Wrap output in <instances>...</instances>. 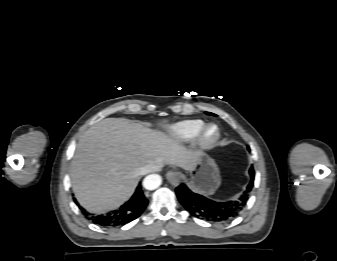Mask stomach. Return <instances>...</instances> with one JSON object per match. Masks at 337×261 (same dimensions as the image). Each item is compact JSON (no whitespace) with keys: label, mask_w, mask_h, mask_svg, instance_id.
<instances>
[{"label":"stomach","mask_w":337,"mask_h":261,"mask_svg":"<svg viewBox=\"0 0 337 261\" xmlns=\"http://www.w3.org/2000/svg\"><path fill=\"white\" fill-rule=\"evenodd\" d=\"M189 172V186L196 192L211 195L221 183L216 162L204 152L199 153L195 167Z\"/></svg>","instance_id":"obj_1"}]
</instances>
